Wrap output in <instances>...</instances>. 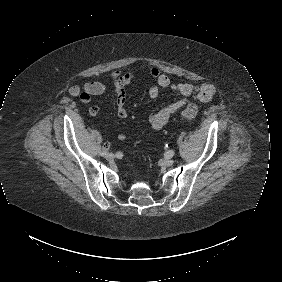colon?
Here are the masks:
<instances>
[{
	"label": "colon",
	"mask_w": 282,
	"mask_h": 282,
	"mask_svg": "<svg viewBox=\"0 0 282 282\" xmlns=\"http://www.w3.org/2000/svg\"><path fill=\"white\" fill-rule=\"evenodd\" d=\"M198 113V107L194 104H190L181 111V118L189 120L194 118Z\"/></svg>",
	"instance_id": "1"
}]
</instances>
